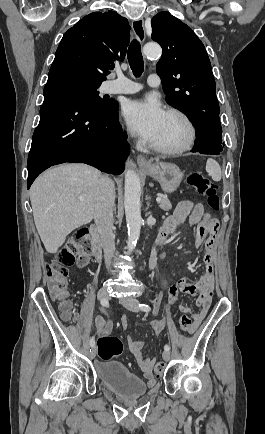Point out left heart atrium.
Segmentation results:
<instances>
[{
  "mask_svg": "<svg viewBox=\"0 0 265 434\" xmlns=\"http://www.w3.org/2000/svg\"><path fill=\"white\" fill-rule=\"evenodd\" d=\"M123 115L128 126L150 143L156 140L166 117L161 104L154 98L129 101Z\"/></svg>",
  "mask_w": 265,
  "mask_h": 434,
  "instance_id": "1",
  "label": "left heart atrium"
}]
</instances>
